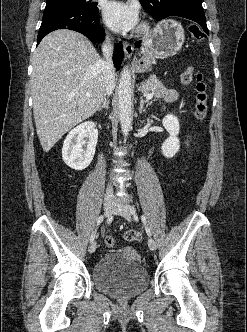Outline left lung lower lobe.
Masks as SVG:
<instances>
[{
    "mask_svg": "<svg viewBox=\"0 0 247 332\" xmlns=\"http://www.w3.org/2000/svg\"><path fill=\"white\" fill-rule=\"evenodd\" d=\"M169 16H178V17H182V18L191 20V21L197 23L199 25V27L201 29H203V31L207 35H209V31H208L207 24H206V17H205L204 12L189 11V10H176V11H173V12L167 14V17H169ZM136 46H139V45L136 44Z\"/></svg>",
    "mask_w": 247,
    "mask_h": 332,
    "instance_id": "obj_1",
    "label": "left lung lower lobe"
}]
</instances>
